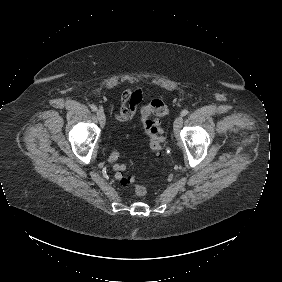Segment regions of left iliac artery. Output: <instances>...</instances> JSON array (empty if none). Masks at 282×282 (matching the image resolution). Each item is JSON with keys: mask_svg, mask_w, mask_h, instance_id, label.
Segmentation results:
<instances>
[{"mask_svg": "<svg viewBox=\"0 0 282 282\" xmlns=\"http://www.w3.org/2000/svg\"><path fill=\"white\" fill-rule=\"evenodd\" d=\"M188 112H189V111H188L187 109H184V110L181 112V116L183 117V116L187 115Z\"/></svg>", "mask_w": 282, "mask_h": 282, "instance_id": "1", "label": "left iliac artery"}]
</instances>
